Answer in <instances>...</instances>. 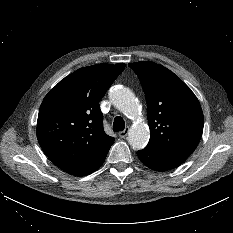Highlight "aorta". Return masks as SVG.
<instances>
[{"label":"aorta","mask_w":233,"mask_h":233,"mask_svg":"<svg viewBox=\"0 0 233 233\" xmlns=\"http://www.w3.org/2000/svg\"><path fill=\"white\" fill-rule=\"evenodd\" d=\"M109 97L118 110L128 118L134 120L128 134L129 144L135 149H143L149 141L150 134L148 126L141 121H137L139 117V105L135 95L129 89L115 87L110 90Z\"/></svg>","instance_id":"762f6f07"}]
</instances>
